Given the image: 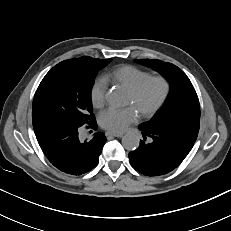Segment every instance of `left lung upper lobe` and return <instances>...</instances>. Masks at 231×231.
<instances>
[{
  "label": "left lung upper lobe",
  "instance_id": "1",
  "mask_svg": "<svg viewBox=\"0 0 231 231\" xmlns=\"http://www.w3.org/2000/svg\"><path fill=\"white\" fill-rule=\"evenodd\" d=\"M135 61L158 71L170 82V95L163 110L153 120L142 125L149 129H173L198 134L200 105L196 91L186 74L177 66L161 60Z\"/></svg>",
  "mask_w": 231,
  "mask_h": 231
}]
</instances>
